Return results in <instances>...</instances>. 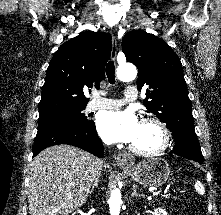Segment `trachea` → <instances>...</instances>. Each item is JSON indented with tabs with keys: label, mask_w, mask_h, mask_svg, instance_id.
Listing matches in <instances>:
<instances>
[{
	"label": "trachea",
	"mask_w": 221,
	"mask_h": 215,
	"mask_svg": "<svg viewBox=\"0 0 221 215\" xmlns=\"http://www.w3.org/2000/svg\"><path fill=\"white\" fill-rule=\"evenodd\" d=\"M106 75L110 84L115 83V66L113 61H109L106 65Z\"/></svg>",
	"instance_id": "3493384b"
}]
</instances>
